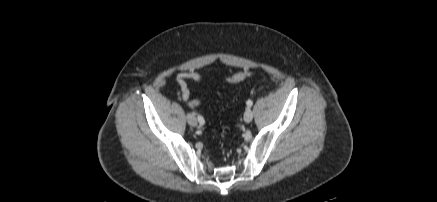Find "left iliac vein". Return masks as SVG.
I'll list each match as a JSON object with an SVG mask.
<instances>
[{"label": "left iliac vein", "mask_w": 437, "mask_h": 202, "mask_svg": "<svg viewBox=\"0 0 437 202\" xmlns=\"http://www.w3.org/2000/svg\"><path fill=\"white\" fill-rule=\"evenodd\" d=\"M253 119V112L250 109H247L244 113V121L246 123H250Z\"/></svg>", "instance_id": "1"}]
</instances>
